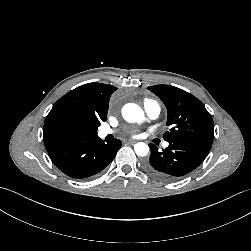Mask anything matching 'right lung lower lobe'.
<instances>
[{
    "label": "right lung lower lobe",
    "instance_id": "obj_1",
    "mask_svg": "<svg viewBox=\"0 0 251 251\" xmlns=\"http://www.w3.org/2000/svg\"><path fill=\"white\" fill-rule=\"evenodd\" d=\"M120 140L105 144L96 136L55 141L46 150L51 161L66 175L83 179L102 171L121 148Z\"/></svg>",
    "mask_w": 251,
    "mask_h": 251
}]
</instances>
